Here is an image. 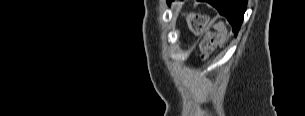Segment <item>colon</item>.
<instances>
[{"label": "colon", "mask_w": 305, "mask_h": 116, "mask_svg": "<svg viewBox=\"0 0 305 116\" xmlns=\"http://www.w3.org/2000/svg\"><path fill=\"white\" fill-rule=\"evenodd\" d=\"M186 20L190 30L195 35H202L204 33L207 24V17L205 15L191 12L186 15ZM215 38H216L215 34H209L203 36L199 46L200 54L203 59L208 58L209 55L212 53L214 48Z\"/></svg>", "instance_id": "1"}]
</instances>
